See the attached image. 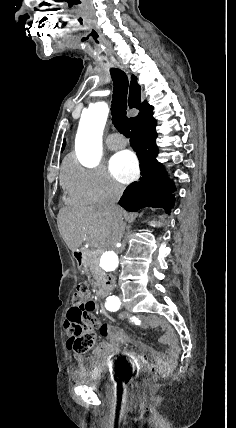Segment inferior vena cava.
I'll list each match as a JSON object with an SVG mask.
<instances>
[{"instance_id":"obj_1","label":"inferior vena cava","mask_w":236,"mask_h":428,"mask_svg":"<svg viewBox=\"0 0 236 428\" xmlns=\"http://www.w3.org/2000/svg\"><path fill=\"white\" fill-rule=\"evenodd\" d=\"M107 190L109 192L107 208L115 214V223L121 226L124 223V217L120 206H117V202L120 196H122L123 188L121 184H117V182H113V180L107 178Z\"/></svg>"}]
</instances>
